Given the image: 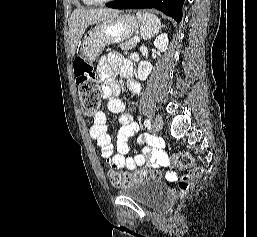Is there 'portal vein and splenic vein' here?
<instances>
[{"instance_id":"18ae733b","label":"portal vein and splenic vein","mask_w":257,"mask_h":237,"mask_svg":"<svg viewBox=\"0 0 257 237\" xmlns=\"http://www.w3.org/2000/svg\"><path fill=\"white\" fill-rule=\"evenodd\" d=\"M134 40H135L136 42H139V41H140V38H139V37H134Z\"/></svg>"}]
</instances>
